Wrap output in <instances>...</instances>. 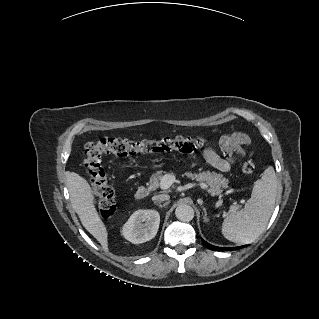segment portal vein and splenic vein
I'll use <instances>...</instances> for the list:
<instances>
[{
	"mask_svg": "<svg viewBox=\"0 0 319 319\" xmlns=\"http://www.w3.org/2000/svg\"><path fill=\"white\" fill-rule=\"evenodd\" d=\"M176 178L173 174L167 173L160 180V189L166 190L168 189L174 182Z\"/></svg>",
	"mask_w": 319,
	"mask_h": 319,
	"instance_id": "18ae733b",
	"label": "portal vein and splenic vein"
}]
</instances>
